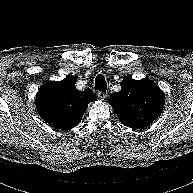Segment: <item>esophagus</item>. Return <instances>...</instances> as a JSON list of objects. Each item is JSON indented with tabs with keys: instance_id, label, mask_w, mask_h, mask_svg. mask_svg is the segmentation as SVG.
Returning <instances> with one entry per match:
<instances>
[{
	"instance_id": "34e87169",
	"label": "esophagus",
	"mask_w": 193,
	"mask_h": 193,
	"mask_svg": "<svg viewBox=\"0 0 193 193\" xmlns=\"http://www.w3.org/2000/svg\"><path fill=\"white\" fill-rule=\"evenodd\" d=\"M97 96H98L99 99L104 100L107 97V93L99 91L97 93Z\"/></svg>"
}]
</instances>
